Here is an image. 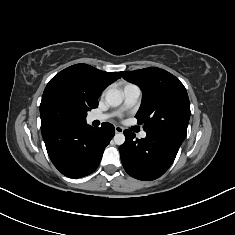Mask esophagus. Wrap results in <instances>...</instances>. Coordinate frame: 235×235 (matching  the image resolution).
<instances>
[{
    "mask_svg": "<svg viewBox=\"0 0 235 235\" xmlns=\"http://www.w3.org/2000/svg\"><path fill=\"white\" fill-rule=\"evenodd\" d=\"M115 132L116 133H122L123 132V128L121 126H115Z\"/></svg>",
    "mask_w": 235,
    "mask_h": 235,
    "instance_id": "esophagus-1",
    "label": "esophagus"
}]
</instances>
